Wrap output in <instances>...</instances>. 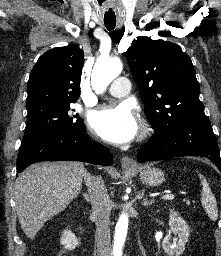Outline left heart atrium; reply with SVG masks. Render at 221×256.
Masks as SVG:
<instances>
[{
  "mask_svg": "<svg viewBox=\"0 0 221 256\" xmlns=\"http://www.w3.org/2000/svg\"><path fill=\"white\" fill-rule=\"evenodd\" d=\"M92 130L106 141L123 144L133 140L139 123L132 106L122 102L107 106L91 114L89 119Z\"/></svg>",
  "mask_w": 221,
  "mask_h": 256,
  "instance_id": "left-heart-atrium-1",
  "label": "left heart atrium"
}]
</instances>
